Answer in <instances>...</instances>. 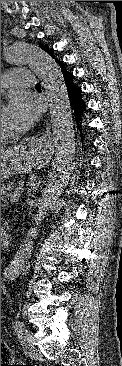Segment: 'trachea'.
Listing matches in <instances>:
<instances>
[{"instance_id":"1","label":"trachea","mask_w":122,"mask_h":366,"mask_svg":"<svg viewBox=\"0 0 122 366\" xmlns=\"http://www.w3.org/2000/svg\"><path fill=\"white\" fill-rule=\"evenodd\" d=\"M36 88H41V85L39 83H37Z\"/></svg>"}]
</instances>
